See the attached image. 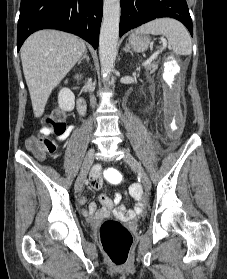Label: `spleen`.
<instances>
[{
  "instance_id": "1",
  "label": "spleen",
  "mask_w": 227,
  "mask_h": 279,
  "mask_svg": "<svg viewBox=\"0 0 227 279\" xmlns=\"http://www.w3.org/2000/svg\"><path fill=\"white\" fill-rule=\"evenodd\" d=\"M136 33L164 35L168 40V47L174 53L179 55H190L192 53V43L188 31L174 19H156L140 26Z\"/></svg>"
}]
</instances>
